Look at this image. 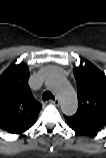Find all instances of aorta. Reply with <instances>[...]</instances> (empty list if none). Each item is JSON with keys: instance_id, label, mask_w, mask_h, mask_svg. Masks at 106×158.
I'll list each match as a JSON object with an SVG mask.
<instances>
[{"instance_id": "1", "label": "aorta", "mask_w": 106, "mask_h": 158, "mask_svg": "<svg viewBox=\"0 0 106 158\" xmlns=\"http://www.w3.org/2000/svg\"><path fill=\"white\" fill-rule=\"evenodd\" d=\"M46 85L57 93L61 110L65 115L71 116L76 113L77 95L67 79L53 72L47 76Z\"/></svg>"}]
</instances>
